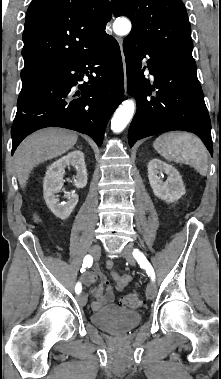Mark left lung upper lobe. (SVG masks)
<instances>
[{"label": "left lung upper lobe", "mask_w": 221, "mask_h": 379, "mask_svg": "<svg viewBox=\"0 0 221 379\" xmlns=\"http://www.w3.org/2000/svg\"><path fill=\"white\" fill-rule=\"evenodd\" d=\"M113 14L132 22L135 36L159 54L196 66L191 27L181 0H111Z\"/></svg>", "instance_id": "5c2ea615"}]
</instances>
